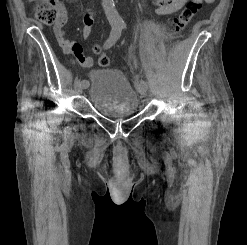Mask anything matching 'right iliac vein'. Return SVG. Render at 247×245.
Segmentation results:
<instances>
[{
  "instance_id": "obj_1",
  "label": "right iliac vein",
  "mask_w": 247,
  "mask_h": 245,
  "mask_svg": "<svg viewBox=\"0 0 247 245\" xmlns=\"http://www.w3.org/2000/svg\"><path fill=\"white\" fill-rule=\"evenodd\" d=\"M87 84H88V82H87ZM87 87H88V85H87ZM87 87H79V85H78L77 86V92H78V94H81L83 92V90L86 89Z\"/></svg>"
}]
</instances>
